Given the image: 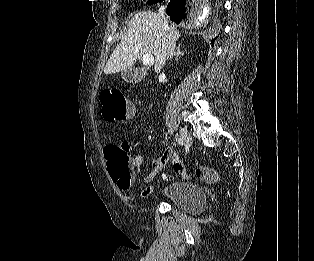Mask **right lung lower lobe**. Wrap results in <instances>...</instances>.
Here are the masks:
<instances>
[{
	"instance_id": "98d812e1",
	"label": "right lung lower lobe",
	"mask_w": 314,
	"mask_h": 261,
	"mask_svg": "<svg viewBox=\"0 0 314 261\" xmlns=\"http://www.w3.org/2000/svg\"><path fill=\"white\" fill-rule=\"evenodd\" d=\"M166 12L171 17V20L178 24L186 19V13L188 12L187 2L184 0H171ZM215 39H212L211 42L213 43Z\"/></svg>"
}]
</instances>
